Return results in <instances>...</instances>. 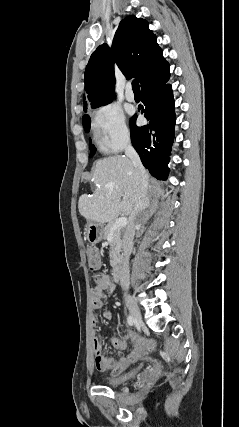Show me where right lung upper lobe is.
<instances>
[{"label": "right lung upper lobe", "instance_id": "1", "mask_svg": "<svg viewBox=\"0 0 239 427\" xmlns=\"http://www.w3.org/2000/svg\"><path fill=\"white\" fill-rule=\"evenodd\" d=\"M156 39L142 18L128 16L120 22L111 49L107 44L100 45L86 66L85 89L92 107L105 105L114 96V61L127 78H137L141 87L169 71Z\"/></svg>", "mask_w": 239, "mask_h": 427}]
</instances>
